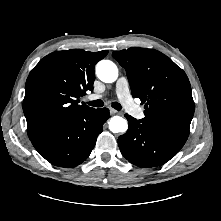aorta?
Returning <instances> with one entry per match:
<instances>
[{
	"label": "aorta",
	"instance_id": "762f6f07",
	"mask_svg": "<svg viewBox=\"0 0 221 221\" xmlns=\"http://www.w3.org/2000/svg\"><path fill=\"white\" fill-rule=\"evenodd\" d=\"M97 77L105 83H113L118 78L117 66L109 60H102L96 65ZM109 129L113 133H124L128 129L126 119L120 116H114L109 121Z\"/></svg>",
	"mask_w": 221,
	"mask_h": 221
}]
</instances>
